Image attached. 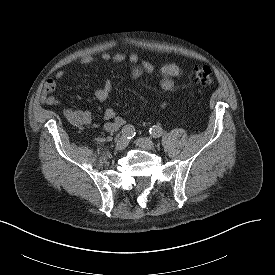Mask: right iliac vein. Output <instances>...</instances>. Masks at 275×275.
Segmentation results:
<instances>
[{"label": "right iliac vein", "instance_id": "right-iliac-vein-1", "mask_svg": "<svg viewBox=\"0 0 275 275\" xmlns=\"http://www.w3.org/2000/svg\"><path fill=\"white\" fill-rule=\"evenodd\" d=\"M128 145V139L124 136L120 137L116 144H115V149L118 151L124 150Z\"/></svg>", "mask_w": 275, "mask_h": 275}]
</instances>
